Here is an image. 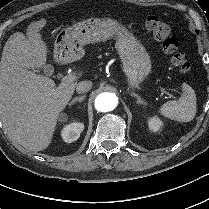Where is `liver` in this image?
<instances>
[{
    "mask_svg": "<svg viewBox=\"0 0 209 209\" xmlns=\"http://www.w3.org/2000/svg\"><path fill=\"white\" fill-rule=\"evenodd\" d=\"M45 24V19L32 22L26 36L11 35L0 60V123L15 144L30 151L49 146L77 84L54 88L53 80L29 70L46 65L48 49L40 34Z\"/></svg>",
    "mask_w": 209,
    "mask_h": 209,
    "instance_id": "1",
    "label": "liver"
}]
</instances>
